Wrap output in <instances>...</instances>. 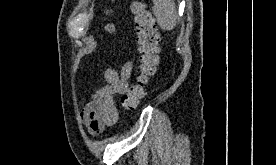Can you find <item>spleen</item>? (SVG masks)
Returning a JSON list of instances; mask_svg holds the SVG:
<instances>
[{"instance_id":"obj_1","label":"spleen","mask_w":276,"mask_h":165,"mask_svg":"<svg viewBox=\"0 0 276 165\" xmlns=\"http://www.w3.org/2000/svg\"><path fill=\"white\" fill-rule=\"evenodd\" d=\"M153 14L162 30H173L177 23V10L174 0H152Z\"/></svg>"}]
</instances>
